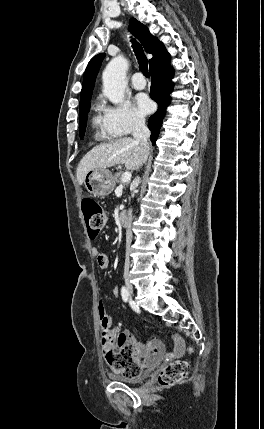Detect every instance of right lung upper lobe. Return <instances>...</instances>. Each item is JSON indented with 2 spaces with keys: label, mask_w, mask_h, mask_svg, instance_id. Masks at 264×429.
<instances>
[{
  "label": "right lung upper lobe",
  "mask_w": 264,
  "mask_h": 429,
  "mask_svg": "<svg viewBox=\"0 0 264 429\" xmlns=\"http://www.w3.org/2000/svg\"><path fill=\"white\" fill-rule=\"evenodd\" d=\"M129 29L141 42L145 51L153 55V58L149 60L150 66H152L164 53L167 52L164 45L149 32L145 25L135 18L130 19ZM104 57V53L94 56L86 68L81 90L80 106L90 103L95 79Z\"/></svg>",
  "instance_id": "cb5924a9"
}]
</instances>
